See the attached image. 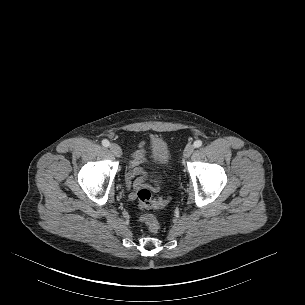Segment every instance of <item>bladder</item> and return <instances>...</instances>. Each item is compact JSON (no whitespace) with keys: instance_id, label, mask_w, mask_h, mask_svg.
I'll list each match as a JSON object with an SVG mask.
<instances>
[{"instance_id":"bladder-1","label":"bladder","mask_w":305,"mask_h":305,"mask_svg":"<svg viewBox=\"0 0 305 305\" xmlns=\"http://www.w3.org/2000/svg\"><path fill=\"white\" fill-rule=\"evenodd\" d=\"M149 158L152 164L159 170H166L172 161L171 150L163 138L154 137L149 142Z\"/></svg>"}]
</instances>
